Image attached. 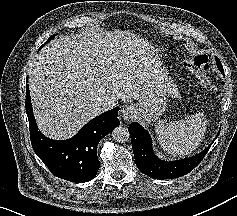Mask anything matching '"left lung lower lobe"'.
I'll list each match as a JSON object with an SVG mask.
<instances>
[{"label":"left lung lower lobe","instance_id":"1","mask_svg":"<svg viewBox=\"0 0 237 216\" xmlns=\"http://www.w3.org/2000/svg\"><path fill=\"white\" fill-rule=\"evenodd\" d=\"M128 130L137 167L154 179H173L188 174L202 161L211 146L194 157L166 162L155 156L149 134L138 123H131Z\"/></svg>","mask_w":237,"mask_h":216}]
</instances>
